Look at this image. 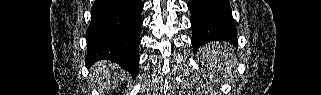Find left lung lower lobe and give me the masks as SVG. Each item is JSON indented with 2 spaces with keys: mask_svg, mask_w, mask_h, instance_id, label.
<instances>
[{
  "mask_svg": "<svg viewBox=\"0 0 321 95\" xmlns=\"http://www.w3.org/2000/svg\"><path fill=\"white\" fill-rule=\"evenodd\" d=\"M191 43L194 50L210 41L237 43V30L233 22L229 0H189Z\"/></svg>",
  "mask_w": 321,
  "mask_h": 95,
  "instance_id": "left-lung-lower-lobe-1",
  "label": "left lung lower lobe"
}]
</instances>
